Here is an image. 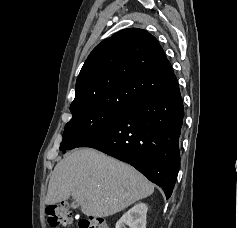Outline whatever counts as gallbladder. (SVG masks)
I'll list each match as a JSON object with an SVG mask.
<instances>
[{
    "mask_svg": "<svg viewBox=\"0 0 238 228\" xmlns=\"http://www.w3.org/2000/svg\"><path fill=\"white\" fill-rule=\"evenodd\" d=\"M72 207L76 208V207H78V205L76 203H72Z\"/></svg>",
    "mask_w": 238,
    "mask_h": 228,
    "instance_id": "bac80fb5",
    "label": "gallbladder"
}]
</instances>
